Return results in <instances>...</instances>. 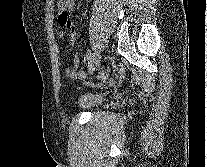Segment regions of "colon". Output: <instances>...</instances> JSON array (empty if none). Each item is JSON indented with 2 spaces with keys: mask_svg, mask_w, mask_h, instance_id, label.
<instances>
[{
  "mask_svg": "<svg viewBox=\"0 0 207 167\" xmlns=\"http://www.w3.org/2000/svg\"><path fill=\"white\" fill-rule=\"evenodd\" d=\"M107 73L106 72H100V74H99V79H101V80H104V79H106L107 78Z\"/></svg>",
  "mask_w": 207,
  "mask_h": 167,
  "instance_id": "obj_1",
  "label": "colon"
}]
</instances>
